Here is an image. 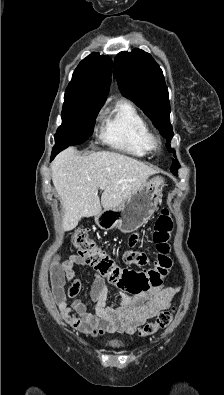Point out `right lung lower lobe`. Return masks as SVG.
I'll return each mask as SVG.
<instances>
[{
	"label": "right lung lower lobe",
	"mask_w": 224,
	"mask_h": 395,
	"mask_svg": "<svg viewBox=\"0 0 224 395\" xmlns=\"http://www.w3.org/2000/svg\"><path fill=\"white\" fill-rule=\"evenodd\" d=\"M67 148L66 146H57L55 145L53 150H52V155H51V160L54 159V157L63 149Z\"/></svg>",
	"instance_id": "98d812e1"
}]
</instances>
